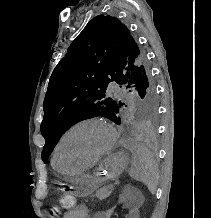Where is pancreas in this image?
Instances as JSON below:
<instances>
[{
  "mask_svg": "<svg viewBox=\"0 0 211 218\" xmlns=\"http://www.w3.org/2000/svg\"><path fill=\"white\" fill-rule=\"evenodd\" d=\"M112 188L113 186H103V188H100V190H97L94 196H96V198H99V200H106V198L110 196L112 192Z\"/></svg>",
  "mask_w": 211,
  "mask_h": 218,
  "instance_id": "1",
  "label": "pancreas"
}]
</instances>
